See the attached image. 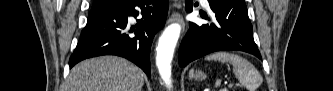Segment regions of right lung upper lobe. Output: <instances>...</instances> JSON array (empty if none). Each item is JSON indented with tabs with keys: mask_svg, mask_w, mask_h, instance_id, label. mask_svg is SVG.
<instances>
[{
	"mask_svg": "<svg viewBox=\"0 0 333 91\" xmlns=\"http://www.w3.org/2000/svg\"><path fill=\"white\" fill-rule=\"evenodd\" d=\"M94 1H104V0H94ZM123 1H129V0H123Z\"/></svg>",
	"mask_w": 333,
	"mask_h": 91,
	"instance_id": "cb5924a9",
	"label": "right lung upper lobe"
}]
</instances>
